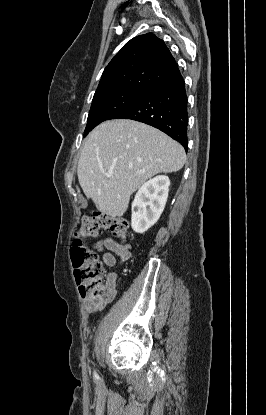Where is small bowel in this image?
Masks as SVG:
<instances>
[{"mask_svg": "<svg viewBox=\"0 0 266 415\" xmlns=\"http://www.w3.org/2000/svg\"><path fill=\"white\" fill-rule=\"evenodd\" d=\"M93 247L101 252L104 263L116 268L122 265L131 257V247L128 244H121L116 240L106 237L95 243ZM114 253L117 258L112 254ZM116 281L117 274L110 272L106 277V282L109 287V294L105 299H95L90 294L82 293L84 308L89 313H95L103 310L116 297Z\"/></svg>", "mask_w": 266, "mask_h": 415, "instance_id": "small-bowel-1", "label": "small bowel"}]
</instances>
